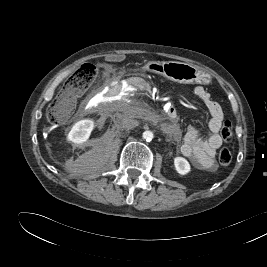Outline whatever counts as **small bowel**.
<instances>
[{
    "instance_id": "c3829d8e",
    "label": "small bowel",
    "mask_w": 267,
    "mask_h": 267,
    "mask_svg": "<svg viewBox=\"0 0 267 267\" xmlns=\"http://www.w3.org/2000/svg\"><path fill=\"white\" fill-rule=\"evenodd\" d=\"M193 93L204 103L210 114L208 127L211 133L204 138L198 129L190 126L185 134L181 153L198 168L212 171L216 169L214 161L216 151L222 145L219 131L223 123L224 113L220 104L211 98L205 87L198 85L194 88Z\"/></svg>"
}]
</instances>
